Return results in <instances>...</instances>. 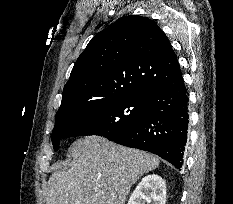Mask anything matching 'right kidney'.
Segmentation results:
<instances>
[{"label": "right kidney", "mask_w": 233, "mask_h": 204, "mask_svg": "<svg viewBox=\"0 0 233 204\" xmlns=\"http://www.w3.org/2000/svg\"><path fill=\"white\" fill-rule=\"evenodd\" d=\"M165 202V181L157 174H150L140 181L127 204H165Z\"/></svg>", "instance_id": "1"}]
</instances>
